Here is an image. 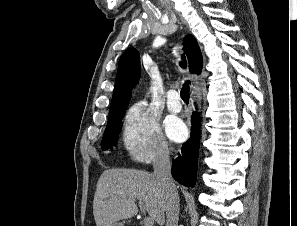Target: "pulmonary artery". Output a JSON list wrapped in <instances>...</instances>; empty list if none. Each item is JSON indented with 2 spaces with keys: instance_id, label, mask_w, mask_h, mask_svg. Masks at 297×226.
I'll use <instances>...</instances> for the list:
<instances>
[{
  "instance_id": "e3ab8cb5",
  "label": "pulmonary artery",
  "mask_w": 297,
  "mask_h": 226,
  "mask_svg": "<svg viewBox=\"0 0 297 226\" xmlns=\"http://www.w3.org/2000/svg\"><path fill=\"white\" fill-rule=\"evenodd\" d=\"M179 94L176 90H170L167 94V108L170 112L177 113L181 110Z\"/></svg>"
}]
</instances>
